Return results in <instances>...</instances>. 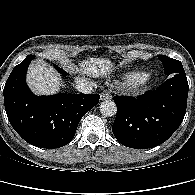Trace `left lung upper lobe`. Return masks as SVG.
I'll use <instances>...</instances> for the list:
<instances>
[{
    "mask_svg": "<svg viewBox=\"0 0 195 195\" xmlns=\"http://www.w3.org/2000/svg\"><path fill=\"white\" fill-rule=\"evenodd\" d=\"M158 58L161 60L164 67V73L167 76H171L177 73L185 74L184 68L180 61L169 58L165 55H158Z\"/></svg>",
    "mask_w": 195,
    "mask_h": 195,
    "instance_id": "left-lung-upper-lobe-1",
    "label": "left lung upper lobe"
}]
</instances>
